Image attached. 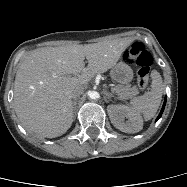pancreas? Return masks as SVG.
<instances>
[{
  "mask_svg": "<svg viewBox=\"0 0 187 187\" xmlns=\"http://www.w3.org/2000/svg\"><path fill=\"white\" fill-rule=\"evenodd\" d=\"M114 92L120 99H129L139 93L136 87L130 86H116Z\"/></svg>",
  "mask_w": 187,
  "mask_h": 187,
  "instance_id": "1",
  "label": "pancreas"
}]
</instances>
